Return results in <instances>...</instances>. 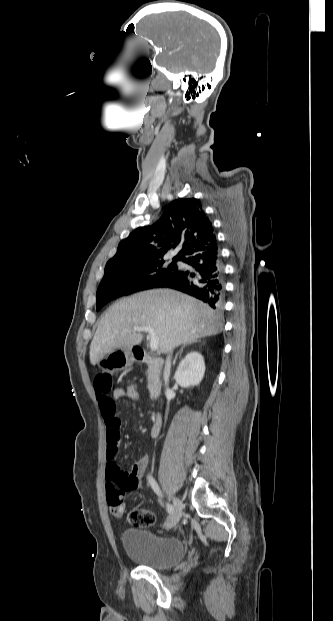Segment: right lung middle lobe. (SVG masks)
Here are the masks:
<instances>
[{
  "label": "right lung middle lobe",
  "mask_w": 333,
  "mask_h": 621,
  "mask_svg": "<svg viewBox=\"0 0 333 621\" xmlns=\"http://www.w3.org/2000/svg\"><path fill=\"white\" fill-rule=\"evenodd\" d=\"M178 260L181 259L174 257L168 267L164 266L162 258L106 265L96 295L97 311L115 298L159 287L177 271ZM140 275L145 279L144 282H148L147 284L137 283L136 277Z\"/></svg>",
  "instance_id": "obj_1"
}]
</instances>
